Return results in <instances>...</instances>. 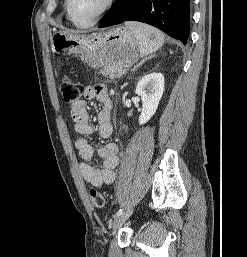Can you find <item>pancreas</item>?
Listing matches in <instances>:
<instances>
[{"label":"pancreas","mask_w":247,"mask_h":257,"mask_svg":"<svg viewBox=\"0 0 247 257\" xmlns=\"http://www.w3.org/2000/svg\"><path fill=\"white\" fill-rule=\"evenodd\" d=\"M100 73L110 79H115L121 77L125 73V69L118 63H108L100 70Z\"/></svg>","instance_id":"1"}]
</instances>
